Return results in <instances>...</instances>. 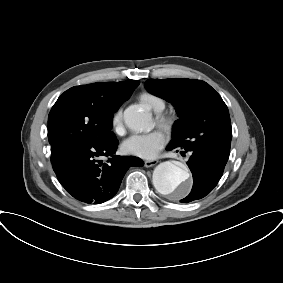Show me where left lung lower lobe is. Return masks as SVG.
Here are the masks:
<instances>
[{
	"instance_id": "left-lung-lower-lobe-1",
	"label": "left lung lower lobe",
	"mask_w": 283,
	"mask_h": 283,
	"mask_svg": "<svg viewBox=\"0 0 283 283\" xmlns=\"http://www.w3.org/2000/svg\"><path fill=\"white\" fill-rule=\"evenodd\" d=\"M182 150L181 153L188 152L190 158L187 162L193 175V187L190 194L181 202H190L205 197L220 180L224 167L227 163V155H212L200 148L170 143L167 150Z\"/></svg>"
}]
</instances>
